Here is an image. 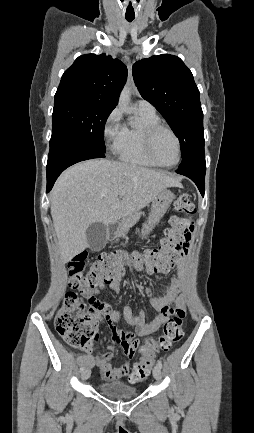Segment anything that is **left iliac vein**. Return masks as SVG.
<instances>
[{"instance_id": "obj_1", "label": "left iliac vein", "mask_w": 254, "mask_h": 433, "mask_svg": "<svg viewBox=\"0 0 254 433\" xmlns=\"http://www.w3.org/2000/svg\"><path fill=\"white\" fill-rule=\"evenodd\" d=\"M153 376L157 381L161 380L162 372L161 368L158 365H156L153 369Z\"/></svg>"}]
</instances>
